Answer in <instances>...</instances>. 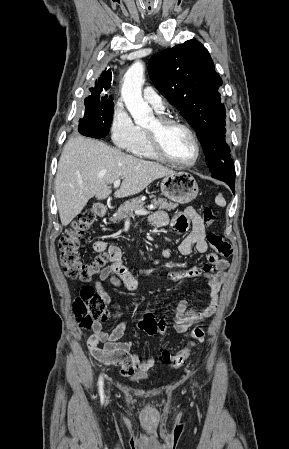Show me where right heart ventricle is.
<instances>
[{"label": "right heart ventricle", "instance_id": "1", "mask_svg": "<svg viewBox=\"0 0 289 449\" xmlns=\"http://www.w3.org/2000/svg\"><path fill=\"white\" fill-rule=\"evenodd\" d=\"M133 153L140 157L151 158V159L157 158V156L155 155V153L153 152V150L150 146V142H149V139H148V136H147V133L145 130H142V137H141L140 143L135 148Z\"/></svg>", "mask_w": 289, "mask_h": 449}]
</instances>
